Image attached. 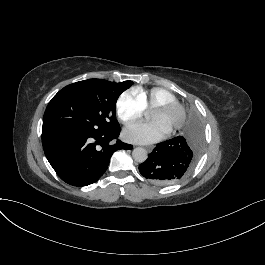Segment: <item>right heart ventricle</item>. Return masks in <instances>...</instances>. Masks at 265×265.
<instances>
[{
  "instance_id": "1",
  "label": "right heart ventricle",
  "mask_w": 265,
  "mask_h": 265,
  "mask_svg": "<svg viewBox=\"0 0 265 265\" xmlns=\"http://www.w3.org/2000/svg\"><path fill=\"white\" fill-rule=\"evenodd\" d=\"M135 94L141 99L147 110H153L156 105L163 101L176 100L171 92L159 87L149 91L137 89Z\"/></svg>"
}]
</instances>
